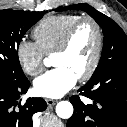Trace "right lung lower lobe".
I'll return each instance as SVG.
<instances>
[{
    "label": "right lung lower lobe",
    "instance_id": "1",
    "mask_svg": "<svg viewBox=\"0 0 127 127\" xmlns=\"http://www.w3.org/2000/svg\"><path fill=\"white\" fill-rule=\"evenodd\" d=\"M29 86L27 78L21 82L0 78V127H32V115L46 109L42 98H28L23 105L18 102Z\"/></svg>",
    "mask_w": 127,
    "mask_h": 127
}]
</instances>
